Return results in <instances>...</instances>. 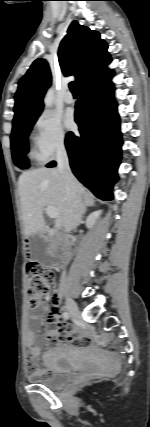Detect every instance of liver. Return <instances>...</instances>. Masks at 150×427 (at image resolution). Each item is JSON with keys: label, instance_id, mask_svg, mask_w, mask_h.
I'll return each instance as SVG.
<instances>
[{"label": "liver", "instance_id": "liver-1", "mask_svg": "<svg viewBox=\"0 0 150 427\" xmlns=\"http://www.w3.org/2000/svg\"><path fill=\"white\" fill-rule=\"evenodd\" d=\"M80 194L87 195L85 188L77 181ZM24 233L29 237L45 227V207L53 206L58 211L55 228L64 225L66 213V189L58 169L39 168L23 172L18 181Z\"/></svg>", "mask_w": 150, "mask_h": 427}]
</instances>
